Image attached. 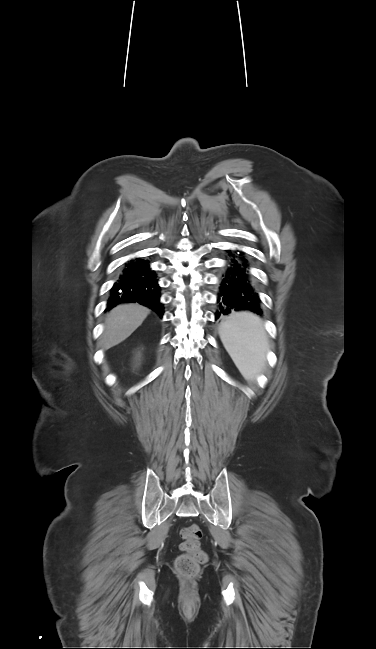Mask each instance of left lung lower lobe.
<instances>
[{
  "instance_id": "0a47b994",
  "label": "left lung lower lobe",
  "mask_w": 376,
  "mask_h": 649,
  "mask_svg": "<svg viewBox=\"0 0 376 649\" xmlns=\"http://www.w3.org/2000/svg\"><path fill=\"white\" fill-rule=\"evenodd\" d=\"M229 267L221 277V295L218 297L219 311L215 314L216 319L223 313L227 315L234 310H249L258 315L262 314L260 299L258 294L253 291L247 268V260L243 257L242 252L232 255Z\"/></svg>"
}]
</instances>
